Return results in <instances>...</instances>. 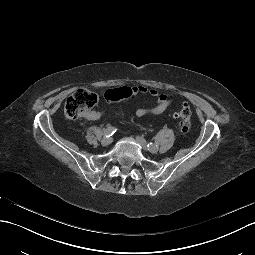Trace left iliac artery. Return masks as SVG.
Wrapping results in <instances>:
<instances>
[{
	"label": "left iliac artery",
	"instance_id": "1",
	"mask_svg": "<svg viewBox=\"0 0 255 255\" xmlns=\"http://www.w3.org/2000/svg\"><path fill=\"white\" fill-rule=\"evenodd\" d=\"M147 146H148V148H153V147H155V146H157L156 144H154V143H152V142H150V143H148L147 144Z\"/></svg>",
	"mask_w": 255,
	"mask_h": 255
}]
</instances>
